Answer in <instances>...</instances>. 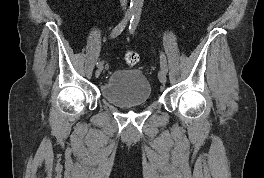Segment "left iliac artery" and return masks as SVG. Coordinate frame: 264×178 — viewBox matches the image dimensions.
I'll list each match as a JSON object with an SVG mask.
<instances>
[{
	"instance_id": "left-iliac-artery-1",
	"label": "left iliac artery",
	"mask_w": 264,
	"mask_h": 178,
	"mask_svg": "<svg viewBox=\"0 0 264 178\" xmlns=\"http://www.w3.org/2000/svg\"><path fill=\"white\" fill-rule=\"evenodd\" d=\"M140 15H141V12L139 10L133 13V16L130 21V26H129V31L131 34H134L135 32V29L140 20ZM160 66H161V69L164 70L165 72L168 71L166 57L163 54H161L160 56Z\"/></svg>"
}]
</instances>
